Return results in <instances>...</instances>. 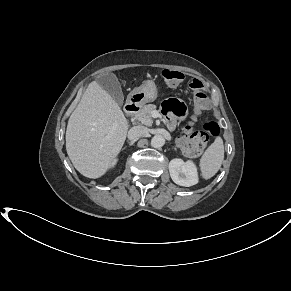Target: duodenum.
Instances as JSON below:
<instances>
[{
	"mask_svg": "<svg viewBox=\"0 0 291 291\" xmlns=\"http://www.w3.org/2000/svg\"><path fill=\"white\" fill-rule=\"evenodd\" d=\"M139 111V106L136 102L130 101L125 105V115L127 118H132Z\"/></svg>",
	"mask_w": 291,
	"mask_h": 291,
	"instance_id": "duodenum-1",
	"label": "duodenum"
}]
</instances>
